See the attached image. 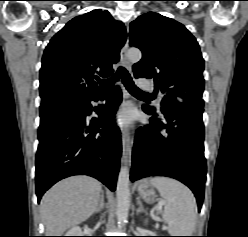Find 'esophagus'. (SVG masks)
Listing matches in <instances>:
<instances>
[{
    "label": "esophagus",
    "instance_id": "esophagus-1",
    "mask_svg": "<svg viewBox=\"0 0 248 237\" xmlns=\"http://www.w3.org/2000/svg\"><path fill=\"white\" fill-rule=\"evenodd\" d=\"M128 47H129V26H127V39H126L124 47L121 50L120 60H121V64L123 65V67L130 70V62L127 58ZM121 133H122L121 138H122L123 159L125 161H130L132 145H133L132 139L127 129L123 128Z\"/></svg>",
    "mask_w": 248,
    "mask_h": 237
}]
</instances>
